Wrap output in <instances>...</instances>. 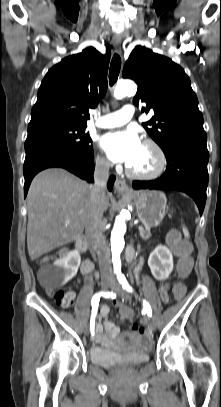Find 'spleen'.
Masks as SVG:
<instances>
[{
  "label": "spleen",
  "mask_w": 221,
  "mask_h": 407,
  "mask_svg": "<svg viewBox=\"0 0 221 407\" xmlns=\"http://www.w3.org/2000/svg\"><path fill=\"white\" fill-rule=\"evenodd\" d=\"M183 233L186 238H189V232L185 227H183Z\"/></svg>",
  "instance_id": "spleen-1"
}]
</instances>
